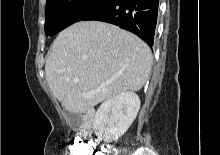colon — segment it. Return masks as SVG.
I'll use <instances>...</instances> for the list:
<instances>
[{
    "label": "colon",
    "mask_w": 220,
    "mask_h": 155,
    "mask_svg": "<svg viewBox=\"0 0 220 155\" xmlns=\"http://www.w3.org/2000/svg\"><path fill=\"white\" fill-rule=\"evenodd\" d=\"M94 148H97V143H84L81 139H73L70 143V155H97Z\"/></svg>",
    "instance_id": "colon-1"
}]
</instances>
